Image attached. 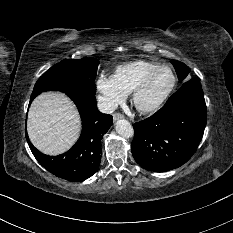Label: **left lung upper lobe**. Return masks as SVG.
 <instances>
[{"label":"left lung upper lobe","mask_w":233,"mask_h":233,"mask_svg":"<svg viewBox=\"0 0 233 233\" xmlns=\"http://www.w3.org/2000/svg\"><path fill=\"white\" fill-rule=\"evenodd\" d=\"M171 63L175 67V70H176L177 75H178V79L180 81L186 79V77L189 74L190 69L185 64H183V63H181L179 61L173 60V61H171Z\"/></svg>","instance_id":"1"}]
</instances>
